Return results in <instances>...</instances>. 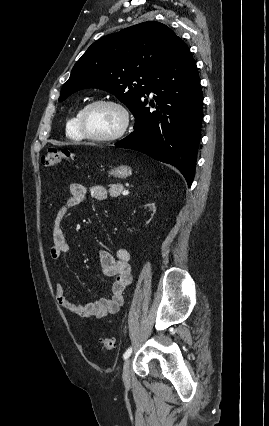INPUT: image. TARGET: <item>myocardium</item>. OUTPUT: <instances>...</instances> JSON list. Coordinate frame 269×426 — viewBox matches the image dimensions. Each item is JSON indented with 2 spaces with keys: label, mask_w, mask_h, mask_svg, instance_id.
<instances>
[{
  "label": "myocardium",
  "mask_w": 269,
  "mask_h": 426,
  "mask_svg": "<svg viewBox=\"0 0 269 426\" xmlns=\"http://www.w3.org/2000/svg\"><path fill=\"white\" fill-rule=\"evenodd\" d=\"M97 105H107L115 108L121 115V124L119 128L110 134L106 135H96L90 133L86 127V115L87 112L94 106ZM130 113L128 109L120 102L111 100V99H95L88 104H86L80 112L79 115V128L84 138L90 139L98 142H113L121 139L128 131L130 126Z\"/></svg>",
  "instance_id": "obj_1"
}]
</instances>
